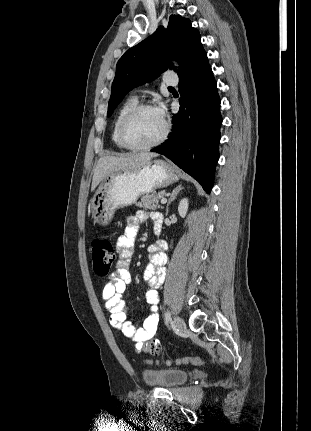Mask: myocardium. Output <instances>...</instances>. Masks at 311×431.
Here are the masks:
<instances>
[{
  "mask_svg": "<svg viewBox=\"0 0 311 431\" xmlns=\"http://www.w3.org/2000/svg\"><path fill=\"white\" fill-rule=\"evenodd\" d=\"M148 109H154L152 105L148 103H140L137 104L133 109H131L122 119L119 126V135L123 145L131 150H147L161 144L167 137L169 133V125L164 120V129L162 134L157 137L155 140L146 143V144H135L133 143L128 135V129L133 120L139 116L142 112Z\"/></svg>",
  "mask_w": 311,
  "mask_h": 431,
  "instance_id": "obj_1",
  "label": "myocardium"
}]
</instances>
